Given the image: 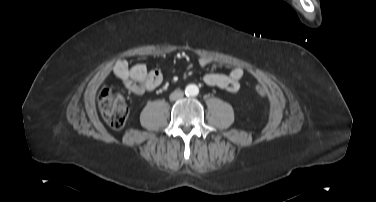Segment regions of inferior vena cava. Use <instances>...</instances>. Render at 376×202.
Masks as SVG:
<instances>
[{
    "mask_svg": "<svg viewBox=\"0 0 376 202\" xmlns=\"http://www.w3.org/2000/svg\"><path fill=\"white\" fill-rule=\"evenodd\" d=\"M184 96V92L180 89L178 90H175L174 92H172L170 94V100L174 101V100H178V99H181L182 97Z\"/></svg>",
    "mask_w": 376,
    "mask_h": 202,
    "instance_id": "1",
    "label": "inferior vena cava"
}]
</instances>
